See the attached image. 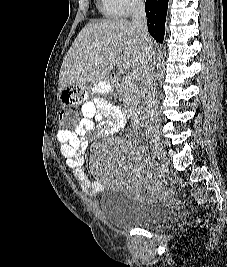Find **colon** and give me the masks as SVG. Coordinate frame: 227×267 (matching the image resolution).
<instances>
[{"instance_id":"colon-1","label":"colon","mask_w":227,"mask_h":267,"mask_svg":"<svg viewBox=\"0 0 227 267\" xmlns=\"http://www.w3.org/2000/svg\"><path fill=\"white\" fill-rule=\"evenodd\" d=\"M60 130H71L73 119H78V110H60Z\"/></svg>"}]
</instances>
